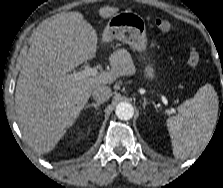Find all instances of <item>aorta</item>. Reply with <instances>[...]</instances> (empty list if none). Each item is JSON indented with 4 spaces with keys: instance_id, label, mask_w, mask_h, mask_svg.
Listing matches in <instances>:
<instances>
[{
    "instance_id": "1",
    "label": "aorta",
    "mask_w": 223,
    "mask_h": 188,
    "mask_svg": "<svg viewBox=\"0 0 223 188\" xmlns=\"http://www.w3.org/2000/svg\"><path fill=\"white\" fill-rule=\"evenodd\" d=\"M116 116L121 120H129L134 115V108L130 103L121 102L116 106Z\"/></svg>"
}]
</instances>
